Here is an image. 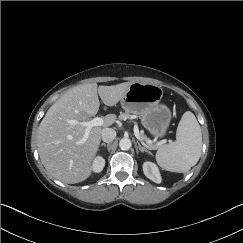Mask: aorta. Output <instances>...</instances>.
<instances>
[{"label":"aorta","instance_id":"aorta-1","mask_svg":"<svg viewBox=\"0 0 243 243\" xmlns=\"http://www.w3.org/2000/svg\"><path fill=\"white\" fill-rule=\"evenodd\" d=\"M131 146H132V142L129 138H122L119 141V147L122 150H129L131 148Z\"/></svg>","mask_w":243,"mask_h":243}]
</instances>
